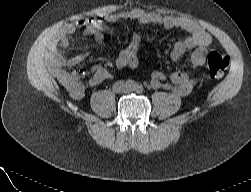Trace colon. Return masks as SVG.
<instances>
[{
	"mask_svg": "<svg viewBox=\"0 0 251 192\" xmlns=\"http://www.w3.org/2000/svg\"><path fill=\"white\" fill-rule=\"evenodd\" d=\"M228 64V59L225 56L216 52L210 53L208 57L209 75L215 79L222 77L228 67Z\"/></svg>",
	"mask_w": 251,
	"mask_h": 192,
	"instance_id": "1",
	"label": "colon"
}]
</instances>
